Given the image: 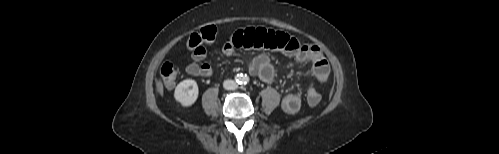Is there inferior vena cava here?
Masks as SVG:
<instances>
[{
	"mask_svg": "<svg viewBox=\"0 0 499 154\" xmlns=\"http://www.w3.org/2000/svg\"><path fill=\"white\" fill-rule=\"evenodd\" d=\"M223 87L227 90H235L238 85L234 80L227 79L223 82Z\"/></svg>",
	"mask_w": 499,
	"mask_h": 154,
	"instance_id": "602c4592",
	"label": "inferior vena cava"
}]
</instances>
